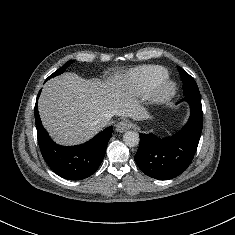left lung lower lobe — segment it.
<instances>
[{
	"mask_svg": "<svg viewBox=\"0 0 235 235\" xmlns=\"http://www.w3.org/2000/svg\"><path fill=\"white\" fill-rule=\"evenodd\" d=\"M184 98L191 115L181 131L172 137L159 139L154 134H141L134 156L138 167L148 176L169 180L183 173L193 160L202 132L201 96L194 94L188 81L183 82Z\"/></svg>",
	"mask_w": 235,
	"mask_h": 235,
	"instance_id": "obj_1",
	"label": "left lung lower lobe"
}]
</instances>
